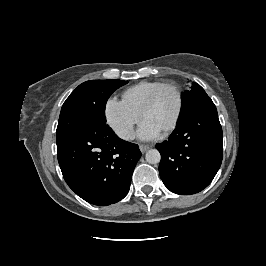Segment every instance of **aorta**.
I'll list each match as a JSON object with an SVG mask.
<instances>
[{"label": "aorta", "mask_w": 266, "mask_h": 266, "mask_svg": "<svg viewBox=\"0 0 266 266\" xmlns=\"http://www.w3.org/2000/svg\"><path fill=\"white\" fill-rule=\"evenodd\" d=\"M145 159L150 164H157L160 162L161 155L158 150L150 149L146 152Z\"/></svg>", "instance_id": "obj_1"}]
</instances>
